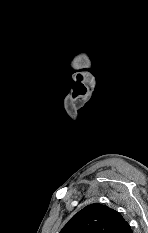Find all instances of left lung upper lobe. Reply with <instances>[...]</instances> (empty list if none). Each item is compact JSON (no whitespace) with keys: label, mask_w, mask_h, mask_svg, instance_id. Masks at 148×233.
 Masks as SVG:
<instances>
[{"label":"left lung upper lobe","mask_w":148,"mask_h":233,"mask_svg":"<svg viewBox=\"0 0 148 233\" xmlns=\"http://www.w3.org/2000/svg\"><path fill=\"white\" fill-rule=\"evenodd\" d=\"M60 233H132V230L117 211L94 203L76 213Z\"/></svg>","instance_id":"left-lung-upper-lobe-1"}]
</instances>
